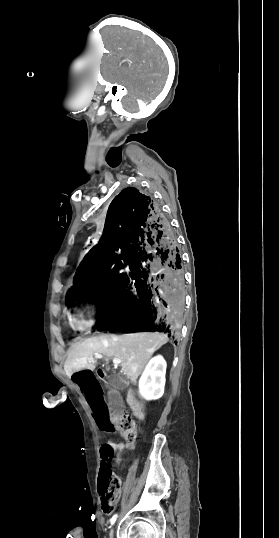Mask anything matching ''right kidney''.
<instances>
[{"instance_id": "ca27d5eb", "label": "right kidney", "mask_w": 279, "mask_h": 538, "mask_svg": "<svg viewBox=\"0 0 279 538\" xmlns=\"http://www.w3.org/2000/svg\"><path fill=\"white\" fill-rule=\"evenodd\" d=\"M167 364L162 356L152 358L147 364L140 380V394L145 400H158L164 394Z\"/></svg>"}]
</instances>
